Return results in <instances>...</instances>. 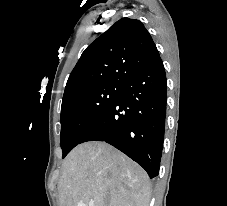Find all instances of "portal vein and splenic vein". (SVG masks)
Returning <instances> with one entry per match:
<instances>
[{"label":"portal vein and splenic vein","mask_w":227,"mask_h":206,"mask_svg":"<svg viewBox=\"0 0 227 206\" xmlns=\"http://www.w3.org/2000/svg\"><path fill=\"white\" fill-rule=\"evenodd\" d=\"M78 206H87L85 204H79ZM88 206H94V203L93 202H89Z\"/></svg>","instance_id":"18ae733b"}]
</instances>
